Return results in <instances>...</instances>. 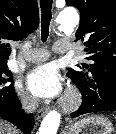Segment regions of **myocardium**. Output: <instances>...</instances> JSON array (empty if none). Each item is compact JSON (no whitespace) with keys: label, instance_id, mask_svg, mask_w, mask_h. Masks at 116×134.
<instances>
[{"label":"myocardium","instance_id":"f54148a6","mask_svg":"<svg viewBox=\"0 0 116 134\" xmlns=\"http://www.w3.org/2000/svg\"><path fill=\"white\" fill-rule=\"evenodd\" d=\"M81 104V96L78 91L72 89L67 94L62 109L64 112H71L75 109H77Z\"/></svg>","mask_w":116,"mask_h":134}]
</instances>
